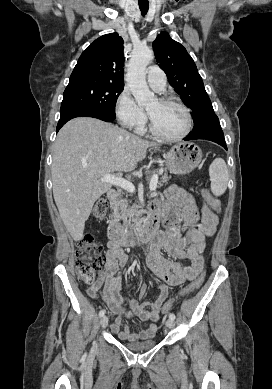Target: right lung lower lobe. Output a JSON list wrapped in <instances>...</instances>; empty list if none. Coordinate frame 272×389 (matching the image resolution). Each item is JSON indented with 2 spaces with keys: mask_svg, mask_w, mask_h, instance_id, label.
Returning <instances> with one entry per match:
<instances>
[{
  "mask_svg": "<svg viewBox=\"0 0 272 389\" xmlns=\"http://www.w3.org/2000/svg\"><path fill=\"white\" fill-rule=\"evenodd\" d=\"M93 117L106 122L114 121L115 117L106 114L94 107L85 105H63L60 108V119L57 125V132L70 119L75 117Z\"/></svg>",
  "mask_w": 272,
  "mask_h": 389,
  "instance_id": "1",
  "label": "right lung lower lobe"
}]
</instances>
